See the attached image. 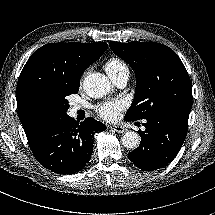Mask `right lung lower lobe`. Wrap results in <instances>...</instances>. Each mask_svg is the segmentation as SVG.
Here are the masks:
<instances>
[{"instance_id":"1","label":"right lung lower lobe","mask_w":215,"mask_h":215,"mask_svg":"<svg viewBox=\"0 0 215 215\" xmlns=\"http://www.w3.org/2000/svg\"><path fill=\"white\" fill-rule=\"evenodd\" d=\"M106 126L94 118L78 123L68 115L50 125L31 146L35 158L57 174H74L90 159L93 134L105 131Z\"/></svg>"}]
</instances>
